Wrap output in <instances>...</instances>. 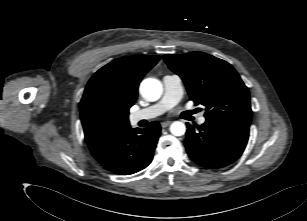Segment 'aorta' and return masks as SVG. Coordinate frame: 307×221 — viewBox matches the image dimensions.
<instances>
[{
	"label": "aorta",
	"mask_w": 307,
	"mask_h": 221,
	"mask_svg": "<svg viewBox=\"0 0 307 221\" xmlns=\"http://www.w3.org/2000/svg\"><path fill=\"white\" fill-rule=\"evenodd\" d=\"M162 84L154 78H147L141 82L140 93L148 101H157L162 95ZM186 126L180 121H175L170 126V132L174 136H182L185 134Z\"/></svg>",
	"instance_id": "762f6f07"
}]
</instances>
